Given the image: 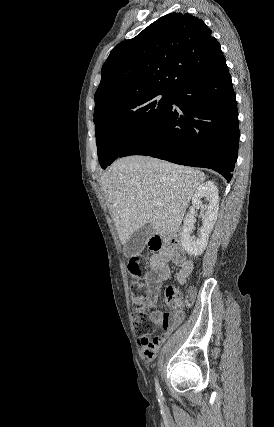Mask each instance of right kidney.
Instances as JSON below:
<instances>
[{
  "label": "right kidney",
  "mask_w": 274,
  "mask_h": 427,
  "mask_svg": "<svg viewBox=\"0 0 274 427\" xmlns=\"http://www.w3.org/2000/svg\"><path fill=\"white\" fill-rule=\"evenodd\" d=\"M201 198H205L209 202L208 206H203ZM192 204L194 208H201L203 212V225L199 231V237L191 235L196 219L193 212L186 214L181 231V243L189 255L198 257L207 247L209 233H211L218 215L219 194L214 182L201 184L192 198Z\"/></svg>",
  "instance_id": "obj_1"
}]
</instances>
